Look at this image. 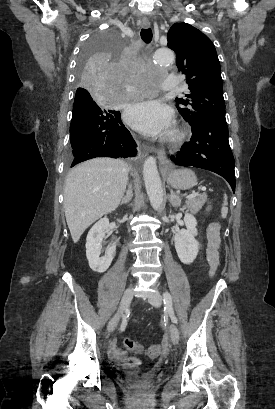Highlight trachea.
<instances>
[{"label":"trachea","instance_id":"3493384b","mask_svg":"<svg viewBox=\"0 0 275 409\" xmlns=\"http://www.w3.org/2000/svg\"><path fill=\"white\" fill-rule=\"evenodd\" d=\"M152 37H153V34L150 28H147V29L142 28L141 38L146 44H149L151 42Z\"/></svg>","mask_w":275,"mask_h":409}]
</instances>
